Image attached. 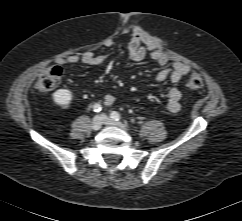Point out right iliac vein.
Returning a JSON list of instances; mask_svg holds the SVG:
<instances>
[{
	"mask_svg": "<svg viewBox=\"0 0 242 221\" xmlns=\"http://www.w3.org/2000/svg\"><path fill=\"white\" fill-rule=\"evenodd\" d=\"M103 124L102 118L100 116H95L92 120V129L98 131L101 129Z\"/></svg>",
	"mask_w": 242,
	"mask_h": 221,
	"instance_id": "1",
	"label": "right iliac vein"
}]
</instances>
